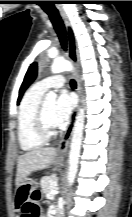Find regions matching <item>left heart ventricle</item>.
<instances>
[{
    "label": "left heart ventricle",
    "mask_w": 132,
    "mask_h": 217,
    "mask_svg": "<svg viewBox=\"0 0 132 217\" xmlns=\"http://www.w3.org/2000/svg\"><path fill=\"white\" fill-rule=\"evenodd\" d=\"M55 107V101L54 100H47L44 103V109H45V117L47 122L50 125H54L52 121V115H53V110Z\"/></svg>",
    "instance_id": "left-heart-ventricle-1"
}]
</instances>
